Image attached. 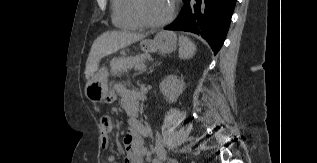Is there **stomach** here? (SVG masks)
I'll return each mask as SVG.
<instances>
[{
    "instance_id": "0dacf381",
    "label": "stomach",
    "mask_w": 317,
    "mask_h": 163,
    "mask_svg": "<svg viewBox=\"0 0 317 163\" xmlns=\"http://www.w3.org/2000/svg\"><path fill=\"white\" fill-rule=\"evenodd\" d=\"M177 37L173 32L161 31L156 34L153 40H143L140 43L145 53L162 52L171 53L176 49ZM108 71L101 68L86 84L85 95L93 103L106 100L108 96Z\"/></svg>"
}]
</instances>
